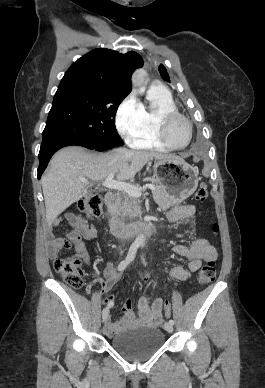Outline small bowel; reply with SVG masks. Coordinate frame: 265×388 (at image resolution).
<instances>
[{
	"label": "small bowel",
	"instance_id": "c3829d8e",
	"mask_svg": "<svg viewBox=\"0 0 265 388\" xmlns=\"http://www.w3.org/2000/svg\"><path fill=\"white\" fill-rule=\"evenodd\" d=\"M195 214V206L191 204L179 205L168 211L167 217L172 222L189 220ZM65 220L71 227L66 238L56 237L49 242V254L55 257L62 249L74 247L80 254L85 264L90 265L91 259L86 251L82 239H92L96 236V230L89 227L84 218L74 213H67ZM59 220L55 221L53 226H57ZM190 227H187L179 236L188 234ZM173 251L182 257L189 260L186 267H174L170 275L172 278L187 281L191 278L192 273L198 271L203 261L215 260L217 251L204 237L200 236L189 246L177 244L173 247ZM111 261L106 263L103 271L104 280L100 282L101 293L107 294L114 285L119 281L122 273L118 272ZM141 280L146 282L148 277L141 274ZM93 283L89 284L86 292L92 293ZM106 303L114 305V296L109 294L106 296ZM139 314L136 315L133 311V305L130 301H126L123 305V316L119 321L113 322L110 317L105 321L104 333L112 335L129 327L141 326H158L163 322V299L157 298L152 304L149 303L147 297L142 296L138 301Z\"/></svg>",
	"mask_w": 265,
	"mask_h": 388
}]
</instances>
